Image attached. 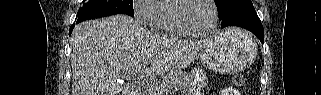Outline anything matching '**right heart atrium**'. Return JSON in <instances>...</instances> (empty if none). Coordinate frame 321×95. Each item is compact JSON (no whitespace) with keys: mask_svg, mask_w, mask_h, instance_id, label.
<instances>
[{"mask_svg":"<svg viewBox=\"0 0 321 95\" xmlns=\"http://www.w3.org/2000/svg\"><path fill=\"white\" fill-rule=\"evenodd\" d=\"M157 0H137L133 3L135 20L143 25H149L157 12Z\"/></svg>","mask_w":321,"mask_h":95,"instance_id":"right-heart-atrium-1","label":"right heart atrium"}]
</instances>
